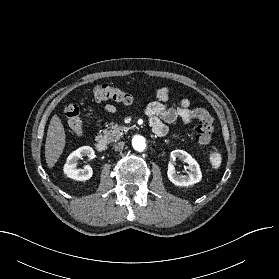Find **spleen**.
<instances>
[{"mask_svg": "<svg viewBox=\"0 0 279 279\" xmlns=\"http://www.w3.org/2000/svg\"><path fill=\"white\" fill-rule=\"evenodd\" d=\"M221 155L219 153L215 154L213 157H212V165L215 169L219 168L220 165H221Z\"/></svg>", "mask_w": 279, "mask_h": 279, "instance_id": "obj_1", "label": "spleen"}]
</instances>
